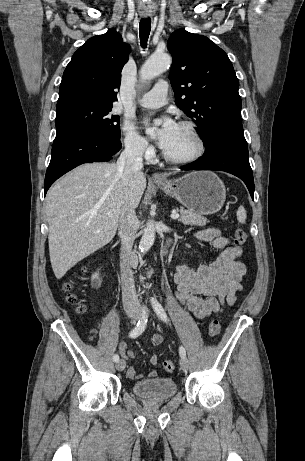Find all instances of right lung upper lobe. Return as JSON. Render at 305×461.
Instances as JSON below:
<instances>
[{
    "mask_svg": "<svg viewBox=\"0 0 305 461\" xmlns=\"http://www.w3.org/2000/svg\"><path fill=\"white\" fill-rule=\"evenodd\" d=\"M129 53V45L114 29L88 39L64 71L56 108L79 102L117 101L115 89L120 87Z\"/></svg>",
    "mask_w": 305,
    "mask_h": 461,
    "instance_id": "right-lung-upper-lobe-1",
    "label": "right lung upper lobe"
}]
</instances>
